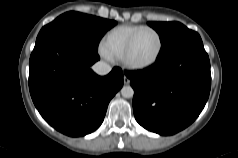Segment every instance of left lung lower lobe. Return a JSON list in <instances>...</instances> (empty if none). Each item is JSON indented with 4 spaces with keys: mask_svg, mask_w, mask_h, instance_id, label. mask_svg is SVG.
I'll list each match as a JSON object with an SVG mask.
<instances>
[{
    "mask_svg": "<svg viewBox=\"0 0 238 158\" xmlns=\"http://www.w3.org/2000/svg\"><path fill=\"white\" fill-rule=\"evenodd\" d=\"M134 89L137 122L160 135L175 134L201 113L210 93L209 57L201 38H195L158 56L143 70L127 72Z\"/></svg>",
    "mask_w": 238,
    "mask_h": 158,
    "instance_id": "obj_1",
    "label": "left lung lower lobe"
}]
</instances>
